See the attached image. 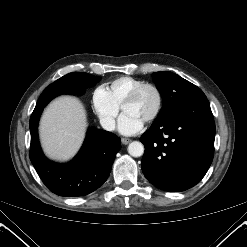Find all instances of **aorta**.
I'll return each instance as SVG.
<instances>
[{"mask_svg":"<svg viewBox=\"0 0 247 247\" xmlns=\"http://www.w3.org/2000/svg\"><path fill=\"white\" fill-rule=\"evenodd\" d=\"M128 153L133 157H140L144 153V146L139 141H133L128 146Z\"/></svg>","mask_w":247,"mask_h":247,"instance_id":"aorta-1","label":"aorta"}]
</instances>
